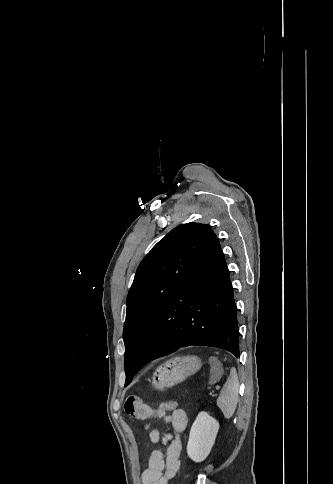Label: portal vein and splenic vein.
<instances>
[{
    "label": "portal vein and splenic vein",
    "instance_id": "1",
    "mask_svg": "<svg viewBox=\"0 0 333 484\" xmlns=\"http://www.w3.org/2000/svg\"><path fill=\"white\" fill-rule=\"evenodd\" d=\"M209 395H210L211 397H216V396H217V394H216V393H214V392H210V393H209Z\"/></svg>",
    "mask_w": 333,
    "mask_h": 484
}]
</instances>
